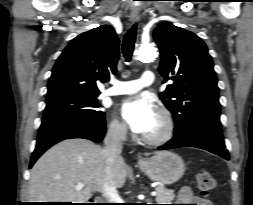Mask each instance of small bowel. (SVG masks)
Instances as JSON below:
<instances>
[{
	"mask_svg": "<svg viewBox=\"0 0 253 205\" xmlns=\"http://www.w3.org/2000/svg\"><path fill=\"white\" fill-rule=\"evenodd\" d=\"M179 200L184 203H194L183 205H212L209 200L194 196L189 189H183L181 191Z\"/></svg>",
	"mask_w": 253,
	"mask_h": 205,
	"instance_id": "obj_1",
	"label": "small bowel"
}]
</instances>
